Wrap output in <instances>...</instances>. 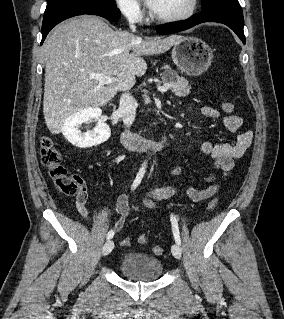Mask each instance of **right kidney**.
<instances>
[{
	"label": "right kidney",
	"instance_id": "obj_1",
	"mask_svg": "<svg viewBox=\"0 0 284 319\" xmlns=\"http://www.w3.org/2000/svg\"><path fill=\"white\" fill-rule=\"evenodd\" d=\"M101 116V110L96 107L82 109L71 115L65 122L62 132L65 138L79 148H88L107 141L111 136L109 126L98 122L92 131L83 133L79 128L82 123L91 121Z\"/></svg>",
	"mask_w": 284,
	"mask_h": 319
}]
</instances>
